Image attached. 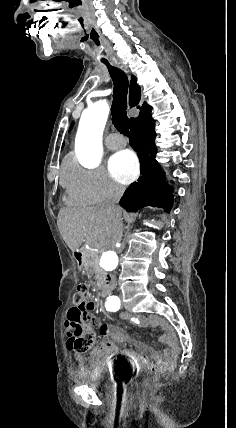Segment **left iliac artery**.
Masks as SVG:
<instances>
[{"label":"left iliac artery","mask_w":236,"mask_h":428,"mask_svg":"<svg viewBox=\"0 0 236 428\" xmlns=\"http://www.w3.org/2000/svg\"><path fill=\"white\" fill-rule=\"evenodd\" d=\"M105 307L107 311L116 312L120 309V299L117 296H109L106 299Z\"/></svg>","instance_id":"left-iliac-artery-1"}]
</instances>
